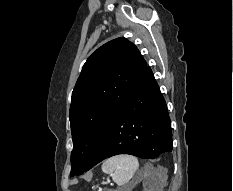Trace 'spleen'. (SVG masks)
<instances>
[{"instance_id":"3e777b00","label":"spleen","mask_w":233,"mask_h":191,"mask_svg":"<svg viewBox=\"0 0 233 191\" xmlns=\"http://www.w3.org/2000/svg\"><path fill=\"white\" fill-rule=\"evenodd\" d=\"M139 168L138 159L132 155H118L103 162L102 171L112 176L118 186H124Z\"/></svg>"}]
</instances>
